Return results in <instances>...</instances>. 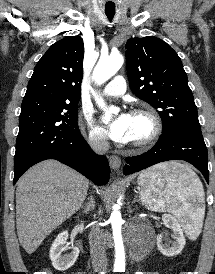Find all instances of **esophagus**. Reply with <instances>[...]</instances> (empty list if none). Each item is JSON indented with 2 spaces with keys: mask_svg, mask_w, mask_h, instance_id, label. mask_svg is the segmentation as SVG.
Returning a JSON list of instances; mask_svg holds the SVG:
<instances>
[{
  "mask_svg": "<svg viewBox=\"0 0 215 274\" xmlns=\"http://www.w3.org/2000/svg\"><path fill=\"white\" fill-rule=\"evenodd\" d=\"M109 164H110V167L114 171H117V172L120 171V167H121V159H120V157H118L116 155H111L109 157Z\"/></svg>",
  "mask_w": 215,
  "mask_h": 274,
  "instance_id": "obj_1",
  "label": "esophagus"
}]
</instances>
